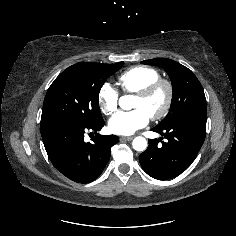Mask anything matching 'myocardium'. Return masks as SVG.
Listing matches in <instances>:
<instances>
[{"label":"myocardium","mask_w":236,"mask_h":236,"mask_svg":"<svg viewBox=\"0 0 236 236\" xmlns=\"http://www.w3.org/2000/svg\"><path fill=\"white\" fill-rule=\"evenodd\" d=\"M161 89L164 90L165 92V101L161 110L150 116L152 120H160L169 113L174 97V87L172 82L168 79L160 78L148 84L147 86H145L143 89H141L136 93L137 97L146 99L149 98L151 95H153L156 91Z\"/></svg>","instance_id":"obj_1"}]
</instances>
